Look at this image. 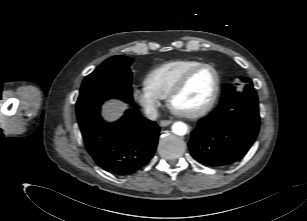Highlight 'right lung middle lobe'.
I'll use <instances>...</instances> for the list:
<instances>
[{"label": "right lung middle lobe", "instance_id": "obj_1", "mask_svg": "<svg viewBox=\"0 0 307 221\" xmlns=\"http://www.w3.org/2000/svg\"><path fill=\"white\" fill-rule=\"evenodd\" d=\"M131 63L129 57L113 56L85 77L76 103L78 119L110 98H124L127 103L133 101Z\"/></svg>", "mask_w": 307, "mask_h": 221}]
</instances>
